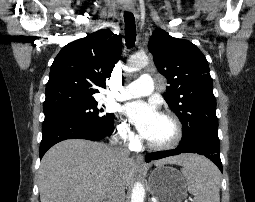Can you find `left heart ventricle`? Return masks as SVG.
Listing matches in <instances>:
<instances>
[{"label": "left heart ventricle", "mask_w": 255, "mask_h": 202, "mask_svg": "<svg viewBox=\"0 0 255 202\" xmlns=\"http://www.w3.org/2000/svg\"><path fill=\"white\" fill-rule=\"evenodd\" d=\"M173 134L172 123L167 118L159 115L145 138L151 142L164 143L169 141Z\"/></svg>", "instance_id": "left-heart-ventricle-1"}]
</instances>
